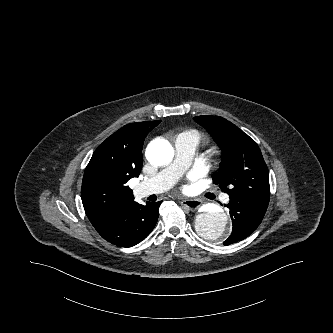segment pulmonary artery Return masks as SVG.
I'll return each instance as SVG.
<instances>
[{
	"mask_svg": "<svg viewBox=\"0 0 333 333\" xmlns=\"http://www.w3.org/2000/svg\"><path fill=\"white\" fill-rule=\"evenodd\" d=\"M176 156L174 161L157 175L142 181L136 188L140 196L164 192L171 188L184 170L188 167L197 148V138L188 133L180 134L174 141ZM225 200L228 197L225 196Z\"/></svg>",
	"mask_w": 333,
	"mask_h": 333,
	"instance_id": "e3ab8cb5",
	"label": "pulmonary artery"
}]
</instances>
